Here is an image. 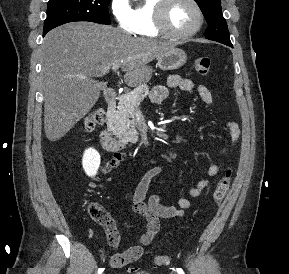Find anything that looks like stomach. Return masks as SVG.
Masks as SVG:
<instances>
[{
	"label": "stomach",
	"mask_w": 289,
	"mask_h": 274,
	"mask_svg": "<svg viewBox=\"0 0 289 274\" xmlns=\"http://www.w3.org/2000/svg\"><path fill=\"white\" fill-rule=\"evenodd\" d=\"M157 60V65L161 70H174L186 63L187 55L182 49L173 48L160 55Z\"/></svg>",
	"instance_id": "obj_1"
}]
</instances>
